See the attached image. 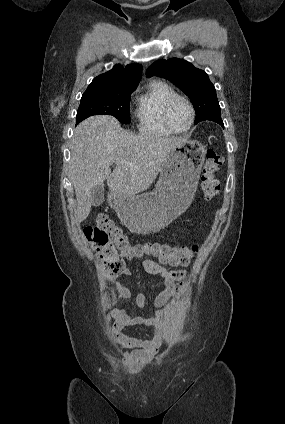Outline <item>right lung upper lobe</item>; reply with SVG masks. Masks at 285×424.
<instances>
[{"label": "right lung upper lobe", "instance_id": "cb5924a9", "mask_svg": "<svg viewBox=\"0 0 285 424\" xmlns=\"http://www.w3.org/2000/svg\"><path fill=\"white\" fill-rule=\"evenodd\" d=\"M142 77V65L130 64L125 68L117 64L112 70L95 77L87 89L137 86Z\"/></svg>", "mask_w": 285, "mask_h": 424}]
</instances>
